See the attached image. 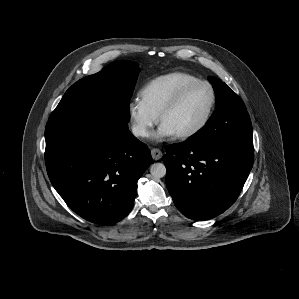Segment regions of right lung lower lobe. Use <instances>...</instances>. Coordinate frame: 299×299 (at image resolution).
Instances as JSON below:
<instances>
[{
	"label": "right lung lower lobe",
	"instance_id": "obj_1",
	"mask_svg": "<svg viewBox=\"0 0 299 299\" xmlns=\"http://www.w3.org/2000/svg\"><path fill=\"white\" fill-rule=\"evenodd\" d=\"M45 139L49 179L75 213L111 225L131 211L152 158L127 121L112 113L48 121Z\"/></svg>",
	"mask_w": 299,
	"mask_h": 299
}]
</instances>
